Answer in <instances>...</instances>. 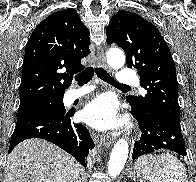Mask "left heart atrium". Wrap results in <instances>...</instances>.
I'll use <instances>...</instances> for the list:
<instances>
[{
  "label": "left heart atrium",
  "mask_w": 196,
  "mask_h": 182,
  "mask_svg": "<svg viewBox=\"0 0 196 182\" xmlns=\"http://www.w3.org/2000/svg\"><path fill=\"white\" fill-rule=\"evenodd\" d=\"M82 118L99 130L115 128L120 122L116 102L109 95H101L88 103L82 111Z\"/></svg>",
  "instance_id": "obj_1"
}]
</instances>
